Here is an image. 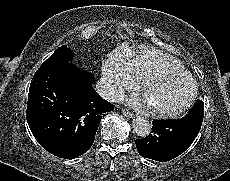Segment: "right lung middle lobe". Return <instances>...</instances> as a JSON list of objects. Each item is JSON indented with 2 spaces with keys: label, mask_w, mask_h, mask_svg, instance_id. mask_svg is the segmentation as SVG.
Instances as JSON below:
<instances>
[{
  "label": "right lung middle lobe",
  "mask_w": 230,
  "mask_h": 181,
  "mask_svg": "<svg viewBox=\"0 0 230 181\" xmlns=\"http://www.w3.org/2000/svg\"><path fill=\"white\" fill-rule=\"evenodd\" d=\"M73 52L65 45L59 47L42 65L41 67L53 66L62 62H68L72 59Z\"/></svg>",
  "instance_id": "obj_1"
}]
</instances>
